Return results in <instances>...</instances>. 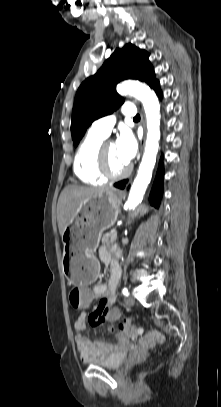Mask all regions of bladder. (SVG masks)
I'll use <instances>...</instances> for the list:
<instances>
[{
  "label": "bladder",
  "mask_w": 221,
  "mask_h": 407,
  "mask_svg": "<svg viewBox=\"0 0 221 407\" xmlns=\"http://www.w3.org/2000/svg\"><path fill=\"white\" fill-rule=\"evenodd\" d=\"M126 360V355L121 352L114 351L110 355L101 359L87 361L89 365L115 370L120 368Z\"/></svg>",
  "instance_id": "31cf9c89"
}]
</instances>
